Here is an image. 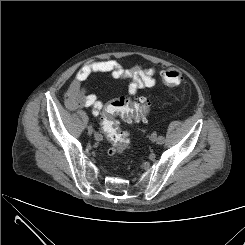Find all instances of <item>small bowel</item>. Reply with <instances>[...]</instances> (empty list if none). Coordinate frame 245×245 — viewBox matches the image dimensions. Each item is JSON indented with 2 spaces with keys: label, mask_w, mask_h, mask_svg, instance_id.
I'll list each match as a JSON object with an SVG mask.
<instances>
[{
  "label": "small bowel",
  "mask_w": 245,
  "mask_h": 245,
  "mask_svg": "<svg viewBox=\"0 0 245 245\" xmlns=\"http://www.w3.org/2000/svg\"><path fill=\"white\" fill-rule=\"evenodd\" d=\"M97 73L108 74L114 79L128 81L127 92L135 95L139 91L153 88L157 84L155 78L156 69L153 67L124 68L115 60L91 61L81 67L65 95V105L69 110L91 107L93 114L98 115L105 104L93 93H88L85 82L88 78Z\"/></svg>",
  "instance_id": "c3829d8e"
}]
</instances>
